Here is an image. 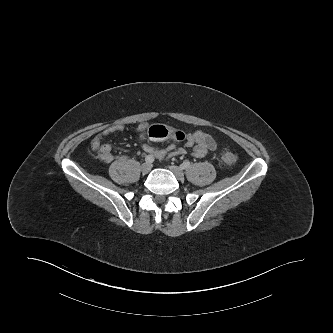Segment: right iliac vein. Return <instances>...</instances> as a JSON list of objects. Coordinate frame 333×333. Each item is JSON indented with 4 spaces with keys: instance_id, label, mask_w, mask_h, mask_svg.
I'll return each mask as SVG.
<instances>
[{
    "instance_id": "63e3f726",
    "label": "right iliac vein",
    "mask_w": 333,
    "mask_h": 333,
    "mask_svg": "<svg viewBox=\"0 0 333 333\" xmlns=\"http://www.w3.org/2000/svg\"><path fill=\"white\" fill-rule=\"evenodd\" d=\"M151 168H152V165H151V163H148V162H145L141 165V171L144 174L149 173Z\"/></svg>"
}]
</instances>
